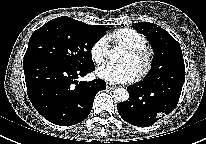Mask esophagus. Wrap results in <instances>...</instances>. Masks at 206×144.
<instances>
[{
  "label": "esophagus",
  "instance_id": "34e87169",
  "mask_svg": "<svg viewBox=\"0 0 206 144\" xmlns=\"http://www.w3.org/2000/svg\"><path fill=\"white\" fill-rule=\"evenodd\" d=\"M106 88H107L108 90H114V89L116 88V86L113 85V84H111V83H107Z\"/></svg>",
  "mask_w": 206,
  "mask_h": 144
}]
</instances>
